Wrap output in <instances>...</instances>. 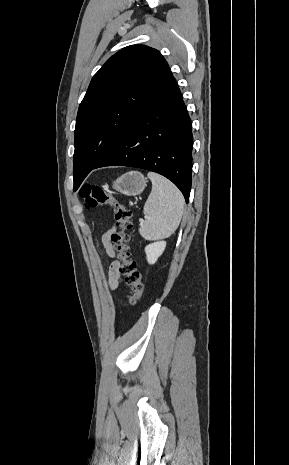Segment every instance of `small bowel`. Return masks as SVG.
Instances as JSON below:
<instances>
[{
    "label": "small bowel",
    "mask_w": 289,
    "mask_h": 465,
    "mask_svg": "<svg viewBox=\"0 0 289 465\" xmlns=\"http://www.w3.org/2000/svg\"><path fill=\"white\" fill-rule=\"evenodd\" d=\"M113 232L114 228L110 229L102 236V245L109 257H114L115 255L114 246L111 241ZM119 266V263L114 261L108 269V284L112 290L117 289L121 284V273L119 272Z\"/></svg>",
    "instance_id": "obj_1"
}]
</instances>
